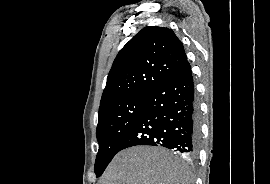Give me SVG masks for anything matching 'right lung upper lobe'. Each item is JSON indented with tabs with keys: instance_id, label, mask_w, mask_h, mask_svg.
<instances>
[{
	"instance_id": "1",
	"label": "right lung upper lobe",
	"mask_w": 270,
	"mask_h": 184,
	"mask_svg": "<svg viewBox=\"0 0 270 184\" xmlns=\"http://www.w3.org/2000/svg\"><path fill=\"white\" fill-rule=\"evenodd\" d=\"M187 62L182 42L164 27H145L118 53L100 108L131 96H148Z\"/></svg>"
}]
</instances>
